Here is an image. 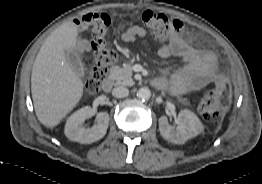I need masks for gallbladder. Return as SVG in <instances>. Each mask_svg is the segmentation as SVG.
<instances>
[{
    "label": "gallbladder",
    "mask_w": 262,
    "mask_h": 184,
    "mask_svg": "<svg viewBox=\"0 0 262 184\" xmlns=\"http://www.w3.org/2000/svg\"><path fill=\"white\" fill-rule=\"evenodd\" d=\"M66 59L70 67L72 68L73 72L77 76H84L85 67L77 53H75L74 51H67Z\"/></svg>",
    "instance_id": "gallbladder-1"
}]
</instances>
